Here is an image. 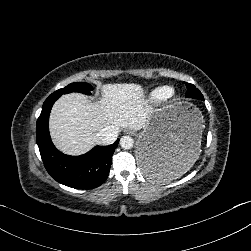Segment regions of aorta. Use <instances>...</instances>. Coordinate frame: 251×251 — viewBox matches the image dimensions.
I'll use <instances>...</instances> for the list:
<instances>
[{
  "instance_id": "obj_1",
  "label": "aorta",
  "mask_w": 251,
  "mask_h": 251,
  "mask_svg": "<svg viewBox=\"0 0 251 251\" xmlns=\"http://www.w3.org/2000/svg\"><path fill=\"white\" fill-rule=\"evenodd\" d=\"M120 146L123 148V149H130L133 147V143H134V140L131 136L129 135H124L121 139H120Z\"/></svg>"
}]
</instances>
